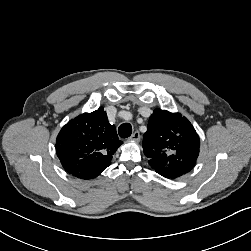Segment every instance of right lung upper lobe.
Masks as SVG:
<instances>
[{
	"label": "right lung upper lobe",
	"instance_id": "obj_1",
	"mask_svg": "<svg viewBox=\"0 0 251 251\" xmlns=\"http://www.w3.org/2000/svg\"><path fill=\"white\" fill-rule=\"evenodd\" d=\"M122 141L100 107L70 120L56 140V153L64 169L81 179L97 177L106 169Z\"/></svg>",
	"mask_w": 251,
	"mask_h": 251
}]
</instances>
